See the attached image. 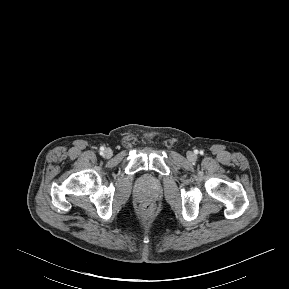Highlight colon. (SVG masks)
<instances>
[{
	"mask_svg": "<svg viewBox=\"0 0 289 289\" xmlns=\"http://www.w3.org/2000/svg\"><path fill=\"white\" fill-rule=\"evenodd\" d=\"M142 214L145 217H150L153 214V208L150 205H145L142 207Z\"/></svg>",
	"mask_w": 289,
	"mask_h": 289,
	"instance_id": "1",
	"label": "colon"
}]
</instances>
